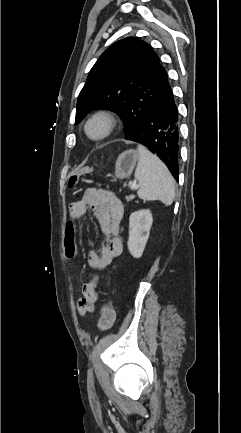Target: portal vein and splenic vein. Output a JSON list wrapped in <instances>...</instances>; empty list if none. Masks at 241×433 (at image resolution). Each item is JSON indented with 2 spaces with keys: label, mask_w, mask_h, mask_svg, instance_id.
Wrapping results in <instances>:
<instances>
[{
  "label": "portal vein and splenic vein",
  "mask_w": 241,
  "mask_h": 433,
  "mask_svg": "<svg viewBox=\"0 0 241 433\" xmlns=\"http://www.w3.org/2000/svg\"><path fill=\"white\" fill-rule=\"evenodd\" d=\"M138 185L136 184V183H132L131 185H130V188L132 189V190H136V189H138Z\"/></svg>",
  "instance_id": "1"
}]
</instances>
